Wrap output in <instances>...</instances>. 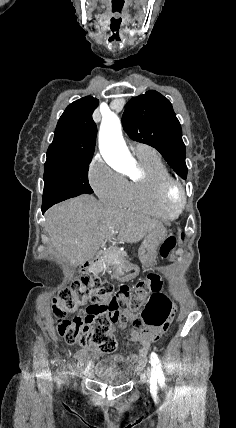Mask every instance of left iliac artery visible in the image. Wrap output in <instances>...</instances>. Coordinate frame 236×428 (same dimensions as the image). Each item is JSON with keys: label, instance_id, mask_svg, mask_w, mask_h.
Here are the masks:
<instances>
[{"label": "left iliac artery", "instance_id": "44dca946", "mask_svg": "<svg viewBox=\"0 0 236 428\" xmlns=\"http://www.w3.org/2000/svg\"><path fill=\"white\" fill-rule=\"evenodd\" d=\"M151 366H153V369L151 371V377H164L163 371L161 370V363L159 361V358L157 354L154 352L151 353Z\"/></svg>", "mask_w": 236, "mask_h": 428}]
</instances>
